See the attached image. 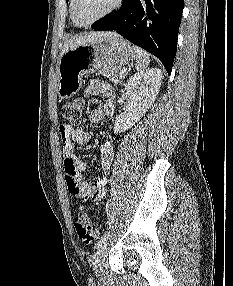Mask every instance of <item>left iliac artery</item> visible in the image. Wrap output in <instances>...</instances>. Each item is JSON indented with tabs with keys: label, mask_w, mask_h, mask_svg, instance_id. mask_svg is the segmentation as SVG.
I'll return each instance as SVG.
<instances>
[{
	"label": "left iliac artery",
	"mask_w": 233,
	"mask_h": 286,
	"mask_svg": "<svg viewBox=\"0 0 233 286\" xmlns=\"http://www.w3.org/2000/svg\"><path fill=\"white\" fill-rule=\"evenodd\" d=\"M106 238H107V233L105 232L101 238L99 239V241L95 244V247L96 248H99L105 241H106Z\"/></svg>",
	"instance_id": "obj_1"
}]
</instances>
